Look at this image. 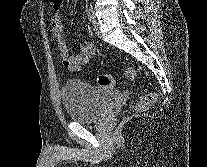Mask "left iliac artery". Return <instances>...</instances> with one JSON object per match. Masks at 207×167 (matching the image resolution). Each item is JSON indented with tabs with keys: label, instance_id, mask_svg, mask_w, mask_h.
Instances as JSON below:
<instances>
[{
	"label": "left iliac artery",
	"instance_id": "44dca946",
	"mask_svg": "<svg viewBox=\"0 0 207 167\" xmlns=\"http://www.w3.org/2000/svg\"><path fill=\"white\" fill-rule=\"evenodd\" d=\"M88 18H89V21L92 23L95 21V15H94V10H93L92 5H90L88 9Z\"/></svg>",
	"mask_w": 207,
	"mask_h": 167
}]
</instances>
